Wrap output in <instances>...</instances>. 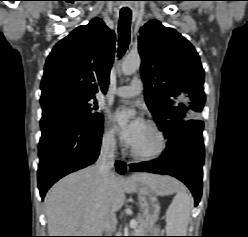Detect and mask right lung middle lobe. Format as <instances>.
<instances>
[{
  "label": "right lung middle lobe",
  "mask_w": 248,
  "mask_h": 237,
  "mask_svg": "<svg viewBox=\"0 0 248 237\" xmlns=\"http://www.w3.org/2000/svg\"><path fill=\"white\" fill-rule=\"evenodd\" d=\"M96 104L93 98L61 96L41 103L42 117H63L84 123L102 121V115L96 111Z\"/></svg>",
  "instance_id": "obj_1"
}]
</instances>
